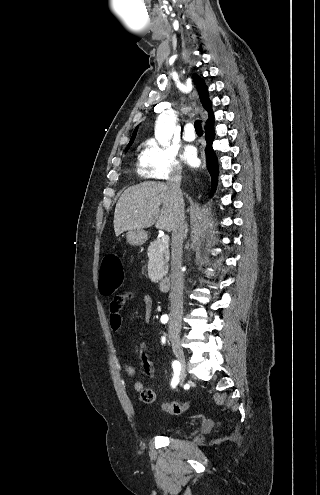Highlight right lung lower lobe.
Returning a JSON list of instances; mask_svg holds the SVG:
<instances>
[{
    "instance_id": "obj_1",
    "label": "right lung lower lobe",
    "mask_w": 320,
    "mask_h": 495,
    "mask_svg": "<svg viewBox=\"0 0 320 495\" xmlns=\"http://www.w3.org/2000/svg\"><path fill=\"white\" fill-rule=\"evenodd\" d=\"M205 139H206V161H207V170L210 173L211 181H212V191L214 192L217 184L218 177V161L215 154V151L212 147L213 140L215 138L214 131V122L206 125L205 127ZM213 194V193H212Z\"/></svg>"
}]
</instances>
